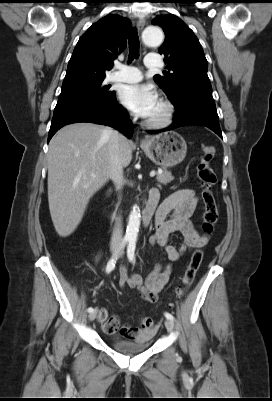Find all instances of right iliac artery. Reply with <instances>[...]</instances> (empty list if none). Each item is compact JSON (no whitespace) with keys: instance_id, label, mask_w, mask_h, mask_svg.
Listing matches in <instances>:
<instances>
[{"instance_id":"obj_1","label":"right iliac artery","mask_w":272,"mask_h":401,"mask_svg":"<svg viewBox=\"0 0 272 401\" xmlns=\"http://www.w3.org/2000/svg\"><path fill=\"white\" fill-rule=\"evenodd\" d=\"M127 242H128V239H124V240L122 241L121 248H122ZM116 260H117V257L114 256V257H112V258L109 260V262L107 263V266H106V273H107V274L110 273V272L115 268ZM93 311H94V309H93L92 307H89V308H88V312H89V313H91V312H93Z\"/></svg>"}]
</instances>
